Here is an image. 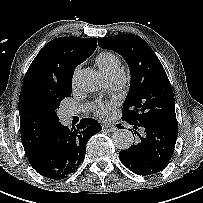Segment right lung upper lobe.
Returning <instances> with one entry per match:
<instances>
[{
	"label": "right lung upper lobe",
	"instance_id": "right-lung-upper-lobe-1",
	"mask_svg": "<svg viewBox=\"0 0 203 203\" xmlns=\"http://www.w3.org/2000/svg\"><path fill=\"white\" fill-rule=\"evenodd\" d=\"M96 38L61 37L47 43L29 66L19 98L20 130L26 155L42 147L60 124L50 100L71 90L75 68L96 49Z\"/></svg>",
	"mask_w": 203,
	"mask_h": 203
}]
</instances>
